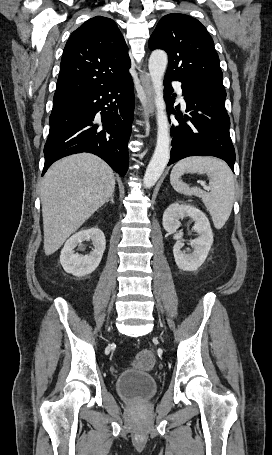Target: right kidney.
I'll return each mask as SVG.
<instances>
[{"instance_id": "ca27d5eb", "label": "right kidney", "mask_w": 272, "mask_h": 455, "mask_svg": "<svg viewBox=\"0 0 272 455\" xmlns=\"http://www.w3.org/2000/svg\"><path fill=\"white\" fill-rule=\"evenodd\" d=\"M92 241L94 249L88 255L74 253V248L83 241ZM106 247L104 233L98 228L81 230L71 236L65 243L60 263L63 269L74 276H85L91 274L100 264Z\"/></svg>"}]
</instances>
